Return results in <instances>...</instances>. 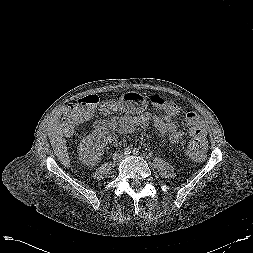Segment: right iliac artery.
Masks as SVG:
<instances>
[{
	"mask_svg": "<svg viewBox=\"0 0 253 253\" xmlns=\"http://www.w3.org/2000/svg\"><path fill=\"white\" fill-rule=\"evenodd\" d=\"M131 153V149L130 148H126L125 150H124V154L125 155H129Z\"/></svg>",
	"mask_w": 253,
	"mask_h": 253,
	"instance_id": "right-iliac-artery-1",
	"label": "right iliac artery"
}]
</instances>
